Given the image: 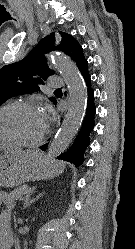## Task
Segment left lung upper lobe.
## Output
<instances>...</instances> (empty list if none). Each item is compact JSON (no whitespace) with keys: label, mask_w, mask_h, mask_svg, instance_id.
<instances>
[{"label":"left lung upper lobe","mask_w":135,"mask_h":249,"mask_svg":"<svg viewBox=\"0 0 135 249\" xmlns=\"http://www.w3.org/2000/svg\"><path fill=\"white\" fill-rule=\"evenodd\" d=\"M59 33L62 40L56 49L70 56L80 71L88 63L82 47L72 35ZM54 38V33L43 38L23 60L0 69V105L14 96L38 91L39 85L54 73L44 58V54L54 50ZM49 100L56 103L55 97Z\"/></svg>","instance_id":"left-lung-upper-lobe-1"}]
</instances>
